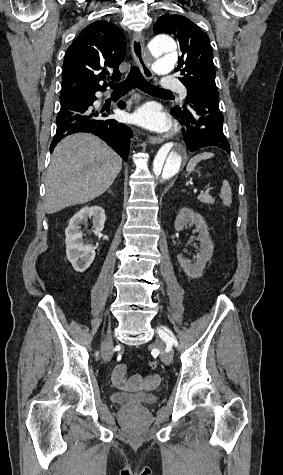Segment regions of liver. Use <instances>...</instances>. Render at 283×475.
<instances>
[{"label": "liver", "instance_id": "liver-1", "mask_svg": "<svg viewBox=\"0 0 283 475\" xmlns=\"http://www.w3.org/2000/svg\"><path fill=\"white\" fill-rule=\"evenodd\" d=\"M121 168L120 156L97 136H67L57 144L48 168L46 214L98 198L110 188Z\"/></svg>", "mask_w": 283, "mask_h": 475}]
</instances>
